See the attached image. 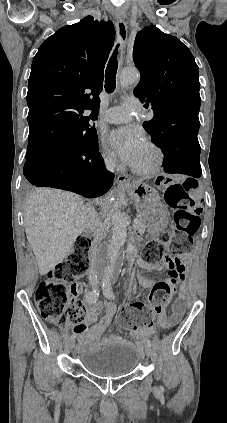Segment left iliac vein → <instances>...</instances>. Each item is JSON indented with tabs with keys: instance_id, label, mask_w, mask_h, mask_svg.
<instances>
[{
	"instance_id": "left-iliac-vein-1",
	"label": "left iliac vein",
	"mask_w": 227,
	"mask_h": 423,
	"mask_svg": "<svg viewBox=\"0 0 227 423\" xmlns=\"http://www.w3.org/2000/svg\"><path fill=\"white\" fill-rule=\"evenodd\" d=\"M146 353H147V355H151L152 354V352H153V349H152V347L151 346H149V345H147L146 346Z\"/></svg>"
}]
</instances>
